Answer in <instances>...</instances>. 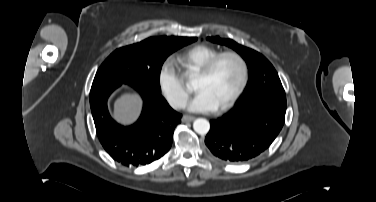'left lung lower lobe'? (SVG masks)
Masks as SVG:
<instances>
[{
    "instance_id": "obj_1",
    "label": "left lung lower lobe",
    "mask_w": 376,
    "mask_h": 202,
    "mask_svg": "<svg viewBox=\"0 0 376 202\" xmlns=\"http://www.w3.org/2000/svg\"><path fill=\"white\" fill-rule=\"evenodd\" d=\"M286 107L260 99L238 106L217 120L205 144L218 158L227 162H244L264 152L283 127Z\"/></svg>"
}]
</instances>
